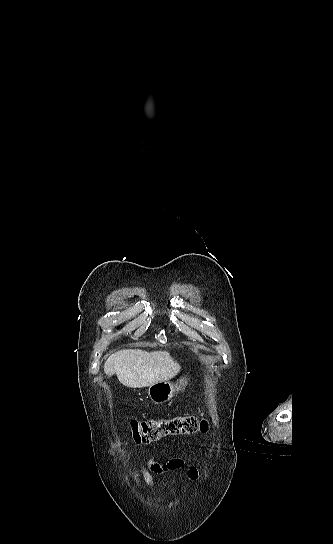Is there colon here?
<instances>
[{
	"label": "colon",
	"instance_id": "colon-1",
	"mask_svg": "<svg viewBox=\"0 0 333 544\" xmlns=\"http://www.w3.org/2000/svg\"><path fill=\"white\" fill-rule=\"evenodd\" d=\"M132 440L135 444H149L162 438L176 435L205 433L209 429L207 420L195 416L172 417L132 421L130 424Z\"/></svg>",
	"mask_w": 333,
	"mask_h": 544
}]
</instances>
